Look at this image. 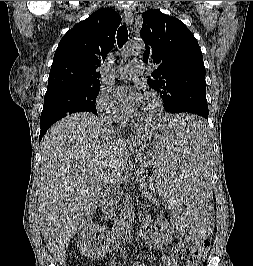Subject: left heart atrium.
I'll list each match as a JSON object with an SVG mask.
<instances>
[{
    "label": "left heart atrium",
    "mask_w": 253,
    "mask_h": 266,
    "mask_svg": "<svg viewBox=\"0 0 253 266\" xmlns=\"http://www.w3.org/2000/svg\"><path fill=\"white\" fill-rule=\"evenodd\" d=\"M143 95L138 91H132L125 104V109L129 114H133L140 103Z\"/></svg>",
    "instance_id": "1"
}]
</instances>
